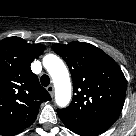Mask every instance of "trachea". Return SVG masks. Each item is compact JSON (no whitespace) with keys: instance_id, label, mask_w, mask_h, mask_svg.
I'll list each match as a JSON object with an SVG mask.
<instances>
[{"instance_id":"3493384b","label":"trachea","mask_w":136,"mask_h":136,"mask_svg":"<svg viewBox=\"0 0 136 136\" xmlns=\"http://www.w3.org/2000/svg\"><path fill=\"white\" fill-rule=\"evenodd\" d=\"M40 82L43 86L47 87L50 84V78L48 75H42L40 78Z\"/></svg>"}]
</instances>
